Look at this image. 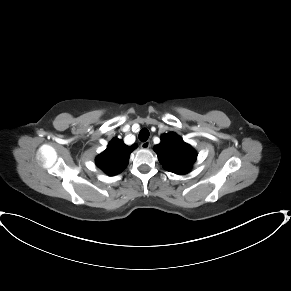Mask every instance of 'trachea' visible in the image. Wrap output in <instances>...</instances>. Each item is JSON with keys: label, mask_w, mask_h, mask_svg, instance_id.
Listing matches in <instances>:
<instances>
[{"label": "trachea", "mask_w": 291, "mask_h": 291, "mask_svg": "<svg viewBox=\"0 0 291 291\" xmlns=\"http://www.w3.org/2000/svg\"><path fill=\"white\" fill-rule=\"evenodd\" d=\"M139 140L145 142L149 138V131L146 128H143L139 133Z\"/></svg>", "instance_id": "3493384b"}]
</instances>
